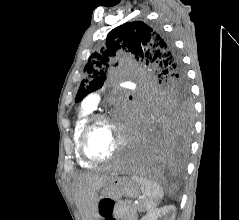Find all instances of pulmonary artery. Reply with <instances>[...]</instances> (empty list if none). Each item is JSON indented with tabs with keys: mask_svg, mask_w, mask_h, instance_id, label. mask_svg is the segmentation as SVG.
Masks as SVG:
<instances>
[{
	"mask_svg": "<svg viewBox=\"0 0 239 220\" xmlns=\"http://www.w3.org/2000/svg\"><path fill=\"white\" fill-rule=\"evenodd\" d=\"M99 99L100 97L98 93H92L84 99L83 107L89 110L95 109L99 102Z\"/></svg>",
	"mask_w": 239,
	"mask_h": 220,
	"instance_id": "pulmonary-artery-1",
	"label": "pulmonary artery"
}]
</instances>
